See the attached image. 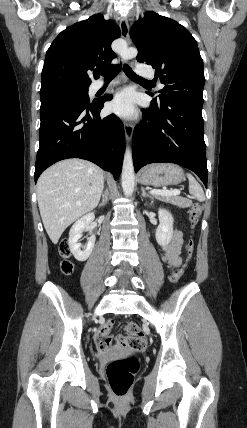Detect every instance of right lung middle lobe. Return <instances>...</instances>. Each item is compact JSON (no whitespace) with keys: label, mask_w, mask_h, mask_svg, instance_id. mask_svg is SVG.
Returning <instances> with one entry per match:
<instances>
[{"label":"right lung middle lobe","mask_w":247,"mask_h":428,"mask_svg":"<svg viewBox=\"0 0 247 428\" xmlns=\"http://www.w3.org/2000/svg\"><path fill=\"white\" fill-rule=\"evenodd\" d=\"M41 105L52 102H76L88 104V87H64L40 93Z\"/></svg>","instance_id":"1"}]
</instances>
